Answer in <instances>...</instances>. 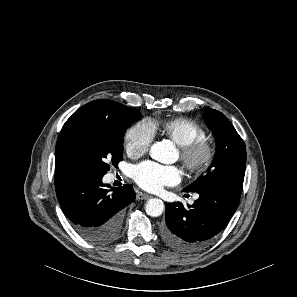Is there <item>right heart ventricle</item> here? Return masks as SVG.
Instances as JSON below:
<instances>
[{
	"mask_svg": "<svg viewBox=\"0 0 297 297\" xmlns=\"http://www.w3.org/2000/svg\"><path fill=\"white\" fill-rule=\"evenodd\" d=\"M149 123L153 133L159 132L178 146L207 137V131L202 125L186 117L165 119L159 122L150 121Z\"/></svg>",
	"mask_w": 297,
	"mask_h": 297,
	"instance_id": "e07e8e85",
	"label": "right heart ventricle"
}]
</instances>
